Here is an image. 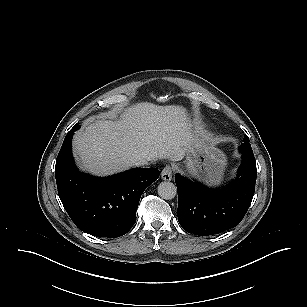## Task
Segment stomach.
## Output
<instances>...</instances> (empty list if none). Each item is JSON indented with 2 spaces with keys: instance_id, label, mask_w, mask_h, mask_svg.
<instances>
[{
  "instance_id": "1",
  "label": "stomach",
  "mask_w": 307,
  "mask_h": 307,
  "mask_svg": "<svg viewBox=\"0 0 307 307\" xmlns=\"http://www.w3.org/2000/svg\"><path fill=\"white\" fill-rule=\"evenodd\" d=\"M187 168L194 176L201 177L211 185L223 178L226 157L214 147H206V139L197 140L187 152Z\"/></svg>"
}]
</instances>
